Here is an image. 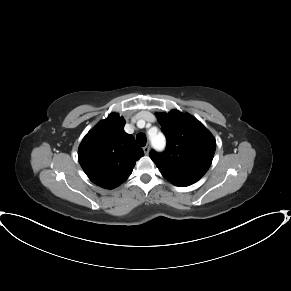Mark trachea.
<instances>
[{
    "mask_svg": "<svg viewBox=\"0 0 291 291\" xmlns=\"http://www.w3.org/2000/svg\"><path fill=\"white\" fill-rule=\"evenodd\" d=\"M136 140L140 146L144 147L146 145L147 139L144 133H138L136 136Z\"/></svg>",
    "mask_w": 291,
    "mask_h": 291,
    "instance_id": "3493384b",
    "label": "trachea"
}]
</instances>
